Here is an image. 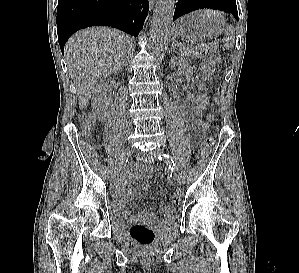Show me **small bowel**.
<instances>
[{"label":"small bowel","mask_w":299,"mask_h":273,"mask_svg":"<svg viewBox=\"0 0 299 273\" xmlns=\"http://www.w3.org/2000/svg\"><path fill=\"white\" fill-rule=\"evenodd\" d=\"M194 97L191 94L186 95L181 103V113L186 122L187 128L193 139H198L200 135L206 131V126L202 123L201 119L194 116ZM154 169L152 167H137L128 173L121 185L116 190V199L121 211L127 212V203L134 195V188L131 183L137 179H148L152 176ZM163 214L165 219H172L175 214L173 205H168L164 208ZM144 221L155 222V215L150 211H145L140 215Z\"/></svg>","instance_id":"small-bowel-1"}]
</instances>
